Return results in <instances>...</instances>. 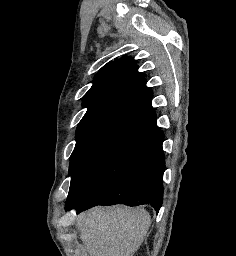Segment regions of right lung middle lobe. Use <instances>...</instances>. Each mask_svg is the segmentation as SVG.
<instances>
[{
  "label": "right lung middle lobe",
  "mask_w": 236,
  "mask_h": 256,
  "mask_svg": "<svg viewBox=\"0 0 236 256\" xmlns=\"http://www.w3.org/2000/svg\"><path fill=\"white\" fill-rule=\"evenodd\" d=\"M153 126L122 116H107L79 123L76 145L70 157L68 199L77 195L102 165Z\"/></svg>",
  "instance_id": "obj_1"
}]
</instances>
